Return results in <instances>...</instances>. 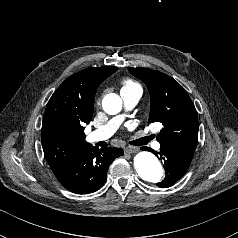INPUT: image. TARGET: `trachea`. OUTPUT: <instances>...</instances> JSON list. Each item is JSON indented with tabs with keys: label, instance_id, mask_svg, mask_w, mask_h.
<instances>
[{
	"label": "trachea",
	"instance_id": "3493384b",
	"mask_svg": "<svg viewBox=\"0 0 238 238\" xmlns=\"http://www.w3.org/2000/svg\"><path fill=\"white\" fill-rule=\"evenodd\" d=\"M146 140L149 141V140H150V137L146 138Z\"/></svg>",
	"mask_w": 238,
	"mask_h": 238
}]
</instances>
